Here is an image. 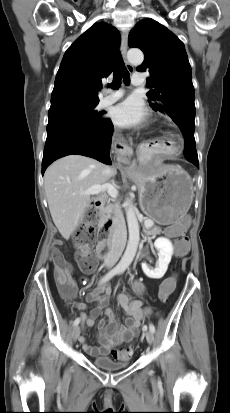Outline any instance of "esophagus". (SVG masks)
I'll return each mask as SVG.
<instances>
[{"mask_svg": "<svg viewBox=\"0 0 230 413\" xmlns=\"http://www.w3.org/2000/svg\"><path fill=\"white\" fill-rule=\"evenodd\" d=\"M127 48H128V31L125 30L122 32L121 54L125 62V65L127 67V70L130 73H132L134 71V67L126 59ZM117 149H118L119 155L122 156L124 153L129 152L130 147L126 143H119V145L117 146Z\"/></svg>", "mask_w": 230, "mask_h": 413, "instance_id": "34e87169", "label": "esophagus"}]
</instances>
